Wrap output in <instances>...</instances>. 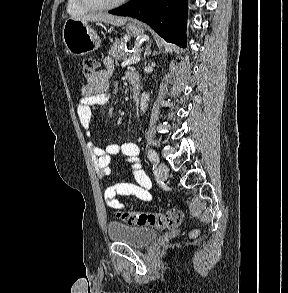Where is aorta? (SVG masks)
Wrapping results in <instances>:
<instances>
[{"instance_id":"obj_1","label":"aorta","mask_w":288,"mask_h":293,"mask_svg":"<svg viewBox=\"0 0 288 293\" xmlns=\"http://www.w3.org/2000/svg\"><path fill=\"white\" fill-rule=\"evenodd\" d=\"M148 101H149V94L143 93L140 99V110L142 113H145V111L147 110Z\"/></svg>"}]
</instances>
